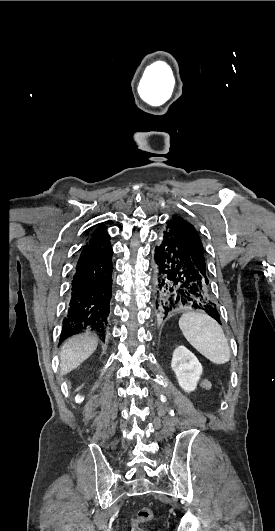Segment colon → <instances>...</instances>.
Listing matches in <instances>:
<instances>
[{
    "label": "colon",
    "instance_id": "colon-1",
    "mask_svg": "<svg viewBox=\"0 0 275 531\" xmlns=\"http://www.w3.org/2000/svg\"><path fill=\"white\" fill-rule=\"evenodd\" d=\"M152 517V511L148 507L139 508L132 520L131 531H142V525L148 522Z\"/></svg>",
    "mask_w": 275,
    "mask_h": 531
}]
</instances>
